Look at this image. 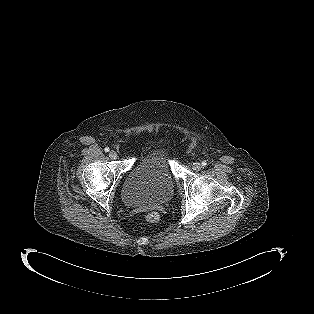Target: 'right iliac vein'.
<instances>
[{"label":"right iliac vein","mask_w":314,"mask_h":314,"mask_svg":"<svg viewBox=\"0 0 314 314\" xmlns=\"http://www.w3.org/2000/svg\"><path fill=\"white\" fill-rule=\"evenodd\" d=\"M109 157H110L111 159H117L118 154H117L116 151L112 150V151L109 152Z\"/></svg>","instance_id":"obj_1"}]
</instances>
